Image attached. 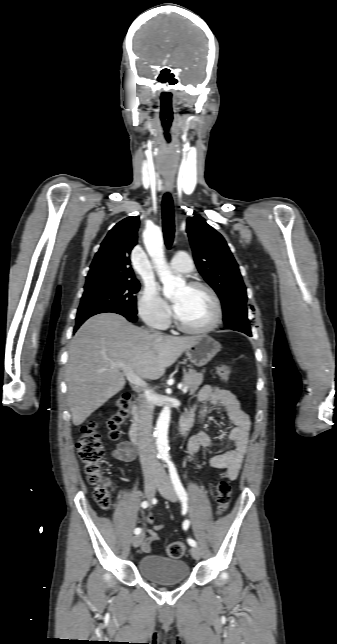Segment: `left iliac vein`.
Segmentation results:
<instances>
[{
  "label": "left iliac vein",
  "instance_id": "obj_1",
  "mask_svg": "<svg viewBox=\"0 0 337 644\" xmlns=\"http://www.w3.org/2000/svg\"><path fill=\"white\" fill-rule=\"evenodd\" d=\"M157 486H158L159 492L163 497H165L171 502H175L177 500V496L173 488L172 482L164 470H162L161 472L159 483ZM190 553L192 557L196 560H199L201 557L200 549L196 546L191 548Z\"/></svg>",
  "mask_w": 337,
  "mask_h": 644
}]
</instances>
